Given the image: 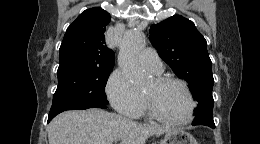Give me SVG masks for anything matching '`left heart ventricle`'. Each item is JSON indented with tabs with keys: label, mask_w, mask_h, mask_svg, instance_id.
Masks as SVG:
<instances>
[{
	"label": "left heart ventricle",
	"mask_w": 260,
	"mask_h": 144,
	"mask_svg": "<svg viewBox=\"0 0 260 144\" xmlns=\"http://www.w3.org/2000/svg\"><path fill=\"white\" fill-rule=\"evenodd\" d=\"M157 108L165 117L172 120H185L189 115L190 102L184 89L177 84L156 87L153 80L144 88Z\"/></svg>",
	"instance_id": "obj_1"
}]
</instances>
